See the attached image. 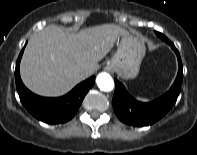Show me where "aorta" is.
Returning a JSON list of instances; mask_svg holds the SVG:
<instances>
[{
	"instance_id": "obj_1",
	"label": "aorta",
	"mask_w": 197,
	"mask_h": 155,
	"mask_svg": "<svg viewBox=\"0 0 197 155\" xmlns=\"http://www.w3.org/2000/svg\"><path fill=\"white\" fill-rule=\"evenodd\" d=\"M96 83L101 91L109 92L114 88V81L112 77L105 72H102L97 76Z\"/></svg>"
}]
</instances>
